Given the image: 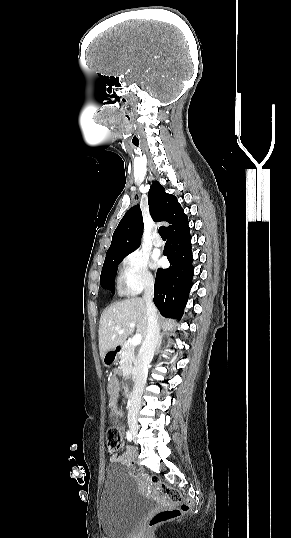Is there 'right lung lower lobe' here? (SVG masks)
<instances>
[{
  "mask_svg": "<svg viewBox=\"0 0 291 538\" xmlns=\"http://www.w3.org/2000/svg\"><path fill=\"white\" fill-rule=\"evenodd\" d=\"M188 221L167 233L163 254L170 267L158 269L154 285V303L165 317L180 319L184 313L194 268Z\"/></svg>",
  "mask_w": 291,
  "mask_h": 538,
  "instance_id": "obj_1",
  "label": "right lung lower lobe"
}]
</instances>
